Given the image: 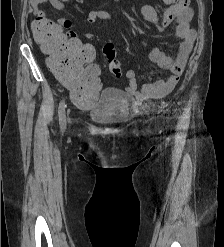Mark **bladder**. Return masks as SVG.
<instances>
[{
  "label": "bladder",
  "mask_w": 224,
  "mask_h": 247,
  "mask_svg": "<svg viewBox=\"0 0 224 247\" xmlns=\"http://www.w3.org/2000/svg\"><path fill=\"white\" fill-rule=\"evenodd\" d=\"M89 117L96 123L112 125L126 121L128 102L123 93L116 88H104L98 100L89 108Z\"/></svg>",
  "instance_id": "31cf9c89"
}]
</instances>
